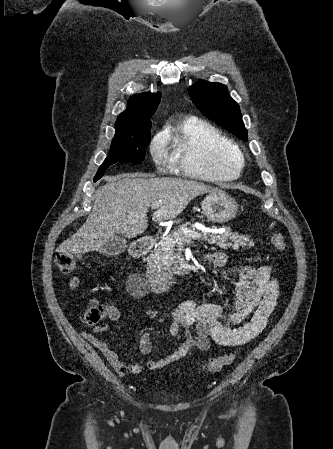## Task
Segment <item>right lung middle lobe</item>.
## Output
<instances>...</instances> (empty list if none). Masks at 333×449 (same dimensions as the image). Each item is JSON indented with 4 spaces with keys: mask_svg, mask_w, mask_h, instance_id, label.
Wrapping results in <instances>:
<instances>
[{
    "mask_svg": "<svg viewBox=\"0 0 333 449\" xmlns=\"http://www.w3.org/2000/svg\"><path fill=\"white\" fill-rule=\"evenodd\" d=\"M150 119L144 124L140 136L130 138H114L111 149L104 163L99 167L94 182L103 176L105 170L116 162L140 163L145 158V150L150 143Z\"/></svg>",
    "mask_w": 333,
    "mask_h": 449,
    "instance_id": "right-lung-middle-lobe-1",
    "label": "right lung middle lobe"
}]
</instances>
